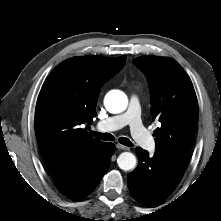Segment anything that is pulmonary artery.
I'll return each instance as SVG.
<instances>
[{"label": "pulmonary artery", "mask_w": 221, "mask_h": 221, "mask_svg": "<svg viewBox=\"0 0 221 221\" xmlns=\"http://www.w3.org/2000/svg\"><path fill=\"white\" fill-rule=\"evenodd\" d=\"M129 125L131 134L135 141L145 150L153 152L156 144L140 118V103L136 95L131 96L129 108L126 112L107 118L97 124L100 131L108 132Z\"/></svg>", "instance_id": "e3ab8cb5"}]
</instances>
